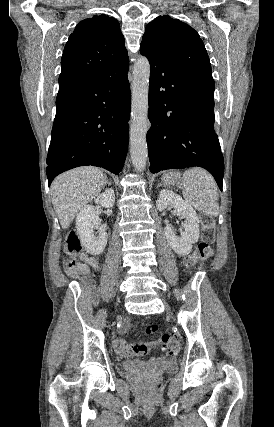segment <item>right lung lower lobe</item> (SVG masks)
I'll list each match as a JSON object with an SVG mask.
<instances>
[{
  "mask_svg": "<svg viewBox=\"0 0 274 427\" xmlns=\"http://www.w3.org/2000/svg\"><path fill=\"white\" fill-rule=\"evenodd\" d=\"M129 64L100 81L57 97L47 178L83 165L118 175L127 154L131 95Z\"/></svg>",
  "mask_w": 274,
  "mask_h": 427,
  "instance_id": "obj_1",
  "label": "right lung lower lobe"
}]
</instances>
